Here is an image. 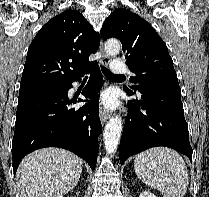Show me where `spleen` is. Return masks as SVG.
Returning a JSON list of instances; mask_svg holds the SVG:
<instances>
[{
    "mask_svg": "<svg viewBox=\"0 0 209 197\" xmlns=\"http://www.w3.org/2000/svg\"><path fill=\"white\" fill-rule=\"evenodd\" d=\"M134 170L142 182L159 190L163 197L186 194L189 174L183 158L175 150L167 147L146 150L134 160Z\"/></svg>",
    "mask_w": 209,
    "mask_h": 197,
    "instance_id": "1",
    "label": "spleen"
}]
</instances>
